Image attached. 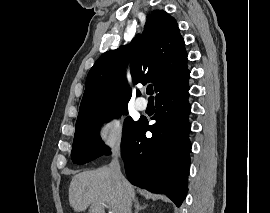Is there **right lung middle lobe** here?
Segmentation results:
<instances>
[{"instance_id":"dd1d6c3e","label":"right lung middle lobe","mask_w":270,"mask_h":213,"mask_svg":"<svg viewBox=\"0 0 270 213\" xmlns=\"http://www.w3.org/2000/svg\"><path fill=\"white\" fill-rule=\"evenodd\" d=\"M127 113V105H125L76 122V132L71 153L72 161L74 163L84 164L110 152V148L103 144L96 132L101 123ZM136 124L137 122H134L131 117L125 119L122 139Z\"/></svg>"}]
</instances>
